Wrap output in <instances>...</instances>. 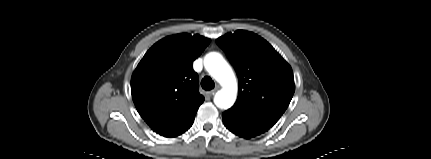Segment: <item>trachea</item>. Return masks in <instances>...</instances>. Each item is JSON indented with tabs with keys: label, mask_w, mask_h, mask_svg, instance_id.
Masks as SVG:
<instances>
[{
	"label": "trachea",
	"mask_w": 431,
	"mask_h": 159,
	"mask_svg": "<svg viewBox=\"0 0 431 159\" xmlns=\"http://www.w3.org/2000/svg\"><path fill=\"white\" fill-rule=\"evenodd\" d=\"M201 86L204 90H211L215 87V83L209 76H205L201 81Z\"/></svg>",
	"instance_id": "trachea-1"
}]
</instances>
